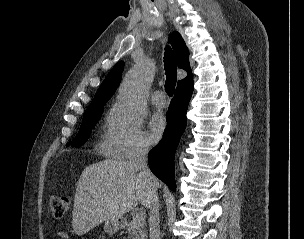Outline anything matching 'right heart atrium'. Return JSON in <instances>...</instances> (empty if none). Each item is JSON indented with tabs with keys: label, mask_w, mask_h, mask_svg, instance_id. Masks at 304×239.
I'll return each instance as SVG.
<instances>
[{
	"label": "right heart atrium",
	"mask_w": 304,
	"mask_h": 239,
	"mask_svg": "<svg viewBox=\"0 0 304 239\" xmlns=\"http://www.w3.org/2000/svg\"><path fill=\"white\" fill-rule=\"evenodd\" d=\"M100 146L109 155L120 159L144 155L150 147L142 127L129 122L117 109L112 112Z\"/></svg>",
	"instance_id": "right-heart-atrium-1"
}]
</instances>
